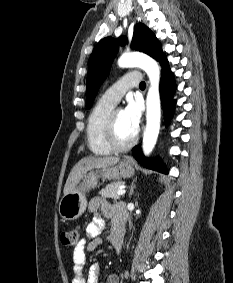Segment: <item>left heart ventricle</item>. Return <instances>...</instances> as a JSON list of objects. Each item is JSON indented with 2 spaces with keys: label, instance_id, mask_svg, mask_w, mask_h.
<instances>
[{
  "label": "left heart ventricle",
  "instance_id": "left-heart-ventricle-1",
  "mask_svg": "<svg viewBox=\"0 0 233 283\" xmlns=\"http://www.w3.org/2000/svg\"><path fill=\"white\" fill-rule=\"evenodd\" d=\"M135 131L127 122L123 110H119L116 115V139L119 143H126L129 141Z\"/></svg>",
  "mask_w": 233,
  "mask_h": 283
}]
</instances>
